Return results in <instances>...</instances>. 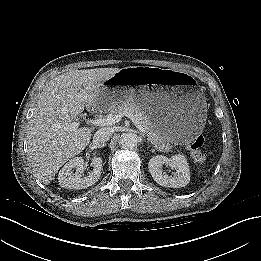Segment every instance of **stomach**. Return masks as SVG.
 <instances>
[{"label":"stomach","instance_id":"stomach-1","mask_svg":"<svg viewBox=\"0 0 261 261\" xmlns=\"http://www.w3.org/2000/svg\"><path fill=\"white\" fill-rule=\"evenodd\" d=\"M134 75L143 80L137 87L119 82ZM111 80L99 93V107L135 102L146 110L155 131L176 144H189L203 129L205 97L191 77L170 69L127 67Z\"/></svg>","mask_w":261,"mask_h":261}]
</instances>
